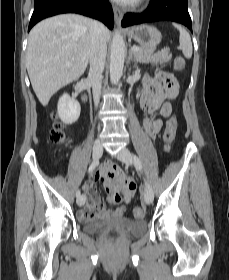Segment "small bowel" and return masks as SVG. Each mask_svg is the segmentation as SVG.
Returning a JSON list of instances; mask_svg holds the SVG:
<instances>
[{"instance_id": "small-bowel-1", "label": "small bowel", "mask_w": 229, "mask_h": 280, "mask_svg": "<svg viewBox=\"0 0 229 280\" xmlns=\"http://www.w3.org/2000/svg\"><path fill=\"white\" fill-rule=\"evenodd\" d=\"M183 67L184 65L181 66L177 62L175 63L177 70H181ZM175 97L169 94L166 87L157 78L144 77L140 88L139 103L142 110L151 116V118L142 120V126L149 136L153 137L161 131L162 121L156 116L168 117L171 113V104L168 100ZM113 173L114 170L109 165H106L98 170L94 178L103 179L109 187L110 196L108 202L117 205L115 210L111 211L103 203L99 202L98 192L91 182H87L83 185L85 203L82 205V209L77 212L78 219L81 221L95 219L92 215L95 212H98L102 219L122 218L124 216L125 206L121 204L122 199L128 202L133 197L136 183L130 178L114 183L110 179Z\"/></svg>"}]
</instances>
